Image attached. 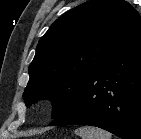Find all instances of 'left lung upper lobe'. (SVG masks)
<instances>
[{"instance_id":"obj_1","label":"left lung upper lobe","mask_w":141,"mask_h":139,"mask_svg":"<svg viewBox=\"0 0 141 139\" xmlns=\"http://www.w3.org/2000/svg\"><path fill=\"white\" fill-rule=\"evenodd\" d=\"M139 31L141 17L124 0H89L66 12L37 45L23 94L26 105L51 99L57 118L88 75Z\"/></svg>"}]
</instances>
